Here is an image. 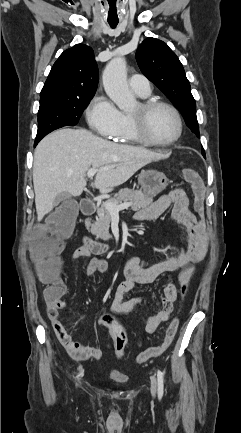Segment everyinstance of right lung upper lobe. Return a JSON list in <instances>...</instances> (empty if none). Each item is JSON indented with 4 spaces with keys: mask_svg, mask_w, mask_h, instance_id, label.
<instances>
[{
    "mask_svg": "<svg viewBox=\"0 0 241 433\" xmlns=\"http://www.w3.org/2000/svg\"><path fill=\"white\" fill-rule=\"evenodd\" d=\"M98 84V67L91 47L76 44L65 50L54 63L40 101L48 98L93 97Z\"/></svg>",
    "mask_w": 241,
    "mask_h": 433,
    "instance_id": "obj_1",
    "label": "right lung upper lobe"
}]
</instances>
